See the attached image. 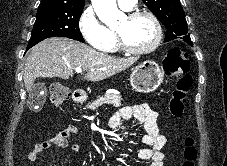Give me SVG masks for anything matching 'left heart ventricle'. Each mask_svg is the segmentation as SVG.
<instances>
[{
    "label": "left heart ventricle",
    "instance_id": "b2bd125f",
    "mask_svg": "<svg viewBox=\"0 0 227 166\" xmlns=\"http://www.w3.org/2000/svg\"><path fill=\"white\" fill-rule=\"evenodd\" d=\"M115 30L121 34L125 43L133 48L146 47L155 37V27L146 16L134 20H128L123 16L117 23Z\"/></svg>",
    "mask_w": 227,
    "mask_h": 166
}]
</instances>
